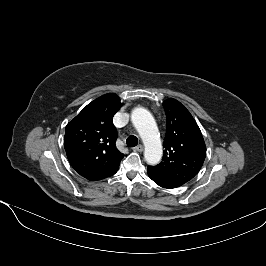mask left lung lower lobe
Instances as JSON below:
<instances>
[{
	"label": "left lung lower lobe",
	"mask_w": 266,
	"mask_h": 266,
	"mask_svg": "<svg viewBox=\"0 0 266 266\" xmlns=\"http://www.w3.org/2000/svg\"><path fill=\"white\" fill-rule=\"evenodd\" d=\"M149 177L159 186L167 188L164 184H162L159 180H157L155 177H153L149 172H148Z\"/></svg>",
	"instance_id": "obj_1"
}]
</instances>
